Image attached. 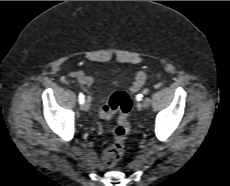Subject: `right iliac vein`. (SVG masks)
I'll return each instance as SVG.
<instances>
[{"label":"right iliac vein","instance_id":"1","mask_svg":"<svg viewBox=\"0 0 230 186\" xmlns=\"http://www.w3.org/2000/svg\"><path fill=\"white\" fill-rule=\"evenodd\" d=\"M82 109H83L84 111H89V109H90V103H89V100H88V99L85 100L84 103L82 104Z\"/></svg>","mask_w":230,"mask_h":186}]
</instances>
